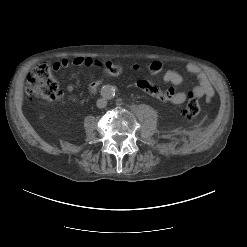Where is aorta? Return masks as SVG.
Here are the masks:
<instances>
[{"label":"aorta","mask_w":247,"mask_h":247,"mask_svg":"<svg viewBox=\"0 0 247 247\" xmlns=\"http://www.w3.org/2000/svg\"><path fill=\"white\" fill-rule=\"evenodd\" d=\"M115 87L112 85H105L103 87V95L107 98V99H112L115 96Z\"/></svg>","instance_id":"obj_1"}]
</instances>
